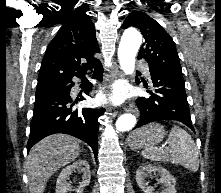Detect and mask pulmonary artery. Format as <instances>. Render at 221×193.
<instances>
[{"instance_id": "1", "label": "pulmonary artery", "mask_w": 221, "mask_h": 193, "mask_svg": "<svg viewBox=\"0 0 221 193\" xmlns=\"http://www.w3.org/2000/svg\"><path fill=\"white\" fill-rule=\"evenodd\" d=\"M141 69L143 71V73L149 77L150 76V73H149V68H148V65L147 64H141Z\"/></svg>"}]
</instances>
